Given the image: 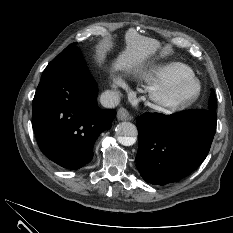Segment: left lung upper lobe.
I'll return each instance as SVG.
<instances>
[{"label": "left lung upper lobe", "mask_w": 233, "mask_h": 233, "mask_svg": "<svg viewBox=\"0 0 233 233\" xmlns=\"http://www.w3.org/2000/svg\"><path fill=\"white\" fill-rule=\"evenodd\" d=\"M207 110L212 111V112L216 111V98H215L214 90H212V92H211L209 108Z\"/></svg>", "instance_id": "obj_1"}]
</instances>
